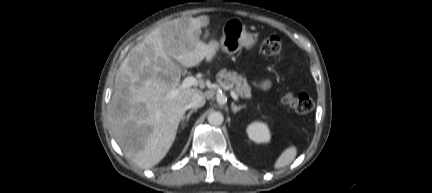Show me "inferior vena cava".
Segmentation results:
<instances>
[{
	"instance_id": "obj_1",
	"label": "inferior vena cava",
	"mask_w": 432,
	"mask_h": 193,
	"mask_svg": "<svg viewBox=\"0 0 432 193\" xmlns=\"http://www.w3.org/2000/svg\"><path fill=\"white\" fill-rule=\"evenodd\" d=\"M205 102L206 100L202 93H194L190 99L188 107L197 109L204 106Z\"/></svg>"
}]
</instances>
